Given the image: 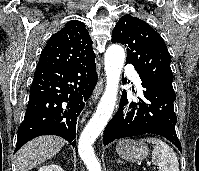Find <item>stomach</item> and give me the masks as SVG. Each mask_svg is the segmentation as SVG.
I'll list each match as a JSON object with an SVG mask.
<instances>
[{"label":"stomach","instance_id":"0dacf381","mask_svg":"<svg viewBox=\"0 0 199 171\" xmlns=\"http://www.w3.org/2000/svg\"><path fill=\"white\" fill-rule=\"evenodd\" d=\"M121 158L130 162H140L148 154V147L141 141L130 139L120 140L116 147Z\"/></svg>","mask_w":199,"mask_h":171}]
</instances>
